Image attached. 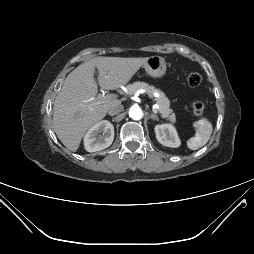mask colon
<instances>
[{
    "instance_id": "obj_1",
    "label": "colon",
    "mask_w": 254,
    "mask_h": 254,
    "mask_svg": "<svg viewBox=\"0 0 254 254\" xmlns=\"http://www.w3.org/2000/svg\"><path fill=\"white\" fill-rule=\"evenodd\" d=\"M201 75L196 72V71H189L187 73V83L192 86V87H196L201 83ZM192 109H193V113L196 116H200L202 115L203 111H204V104L201 101H195L192 104Z\"/></svg>"
}]
</instances>
